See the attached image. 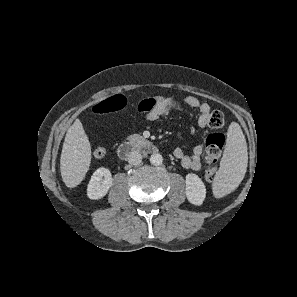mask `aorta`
Returning <instances> with one entry per match:
<instances>
[{"mask_svg":"<svg viewBox=\"0 0 297 297\" xmlns=\"http://www.w3.org/2000/svg\"><path fill=\"white\" fill-rule=\"evenodd\" d=\"M150 163L154 166H159L163 163V157L159 153H154L150 156Z\"/></svg>","mask_w":297,"mask_h":297,"instance_id":"obj_1","label":"aorta"}]
</instances>
